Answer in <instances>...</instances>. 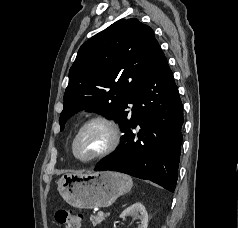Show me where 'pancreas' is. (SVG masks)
Segmentation results:
<instances>
[{
    "label": "pancreas",
    "mask_w": 238,
    "mask_h": 228,
    "mask_svg": "<svg viewBox=\"0 0 238 228\" xmlns=\"http://www.w3.org/2000/svg\"><path fill=\"white\" fill-rule=\"evenodd\" d=\"M106 217H107L106 215H103V216H99V215L91 216L90 217V221L92 222V224L94 226H96V225L100 224L101 222H103Z\"/></svg>",
    "instance_id": "cf45deb5"
}]
</instances>
